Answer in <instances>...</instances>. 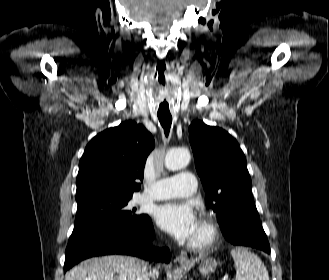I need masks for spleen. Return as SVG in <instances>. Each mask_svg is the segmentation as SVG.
<instances>
[{
  "label": "spleen",
  "mask_w": 329,
  "mask_h": 280,
  "mask_svg": "<svg viewBox=\"0 0 329 280\" xmlns=\"http://www.w3.org/2000/svg\"><path fill=\"white\" fill-rule=\"evenodd\" d=\"M235 267V280H269L268 271L261 259L245 248L231 250Z\"/></svg>",
  "instance_id": "1"
}]
</instances>
